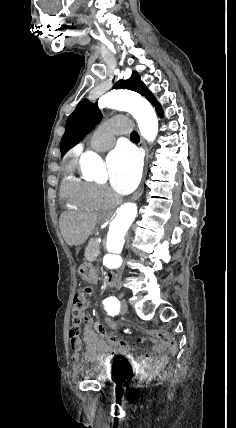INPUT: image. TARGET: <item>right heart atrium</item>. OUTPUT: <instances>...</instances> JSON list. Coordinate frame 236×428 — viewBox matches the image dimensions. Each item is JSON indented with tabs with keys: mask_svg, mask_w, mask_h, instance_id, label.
<instances>
[{
	"mask_svg": "<svg viewBox=\"0 0 236 428\" xmlns=\"http://www.w3.org/2000/svg\"><path fill=\"white\" fill-rule=\"evenodd\" d=\"M96 191L100 199L103 201L108 198H112L113 194L105 186H96Z\"/></svg>",
	"mask_w": 236,
	"mask_h": 428,
	"instance_id": "d8ad5b80",
	"label": "right heart atrium"
}]
</instances>
